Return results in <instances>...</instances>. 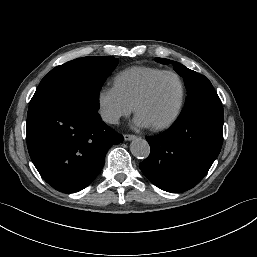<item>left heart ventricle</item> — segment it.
I'll list each match as a JSON object with an SVG mask.
<instances>
[{
	"label": "left heart ventricle",
	"instance_id": "left-heart-ventricle-1",
	"mask_svg": "<svg viewBox=\"0 0 257 257\" xmlns=\"http://www.w3.org/2000/svg\"><path fill=\"white\" fill-rule=\"evenodd\" d=\"M180 96V86L174 76L166 75L157 81L149 97L140 105L138 113L150 125L166 121L175 111Z\"/></svg>",
	"mask_w": 257,
	"mask_h": 257
}]
</instances>
